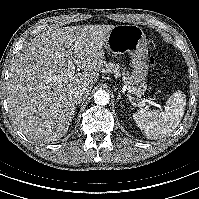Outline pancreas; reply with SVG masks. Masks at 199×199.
<instances>
[{
    "label": "pancreas",
    "instance_id": "obj_1",
    "mask_svg": "<svg viewBox=\"0 0 199 199\" xmlns=\"http://www.w3.org/2000/svg\"><path fill=\"white\" fill-rule=\"evenodd\" d=\"M105 68H106L107 71L117 72L118 69H119V65L114 64V63H109V64H106ZM122 75L128 76V77H127V79H128L127 82H128V84H129V85H128V88H127L128 91H129L130 93H133V94L138 95V96L142 95L143 90L140 89V88H137L136 86H134V83L131 81V77H129V73H128V72H125V68H123ZM131 85H132V86H131Z\"/></svg>",
    "mask_w": 199,
    "mask_h": 199
}]
</instances>
